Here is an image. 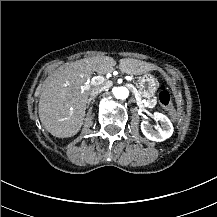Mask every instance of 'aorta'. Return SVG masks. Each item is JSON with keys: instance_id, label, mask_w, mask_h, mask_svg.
I'll return each mask as SVG.
<instances>
[{"instance_id": "obj_1", "label": "aorta", "mask_w": 217, "mask_h": 217, "mask_svg": "<svg viewBox=\"0 0 217 217\" xmlns=\"http://www.w3.org/2000/svg\"><path fill=\"white\" fill-rule=\"evenodd\" d=\"M115 98L117 99H126L129 96L128 88L124 86L116 87L115 91L113 92Z\"/></svg>"}]
</instances>
